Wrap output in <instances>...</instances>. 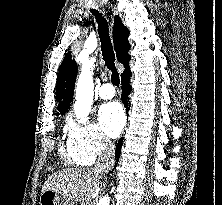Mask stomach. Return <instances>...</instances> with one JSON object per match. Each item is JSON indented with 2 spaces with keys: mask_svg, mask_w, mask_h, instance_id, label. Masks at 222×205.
<instances>
[{
  "mask_svg": "<svg viewBox=\"0 0 222 205\" xmlns=\"http://www.w3.org/2000/svg\"><path fill=\"white\" fill-rule=\"evenodd\" d=\"M40 205H68V204L67 201L63 199L58 193L51 190H46L41 194Z\"/></svg>",
  "mask_w": 222,
  "mask_h": 205,
  "instance_id": "stomach-1",
  "label": "stomach"
}]
</instances>
